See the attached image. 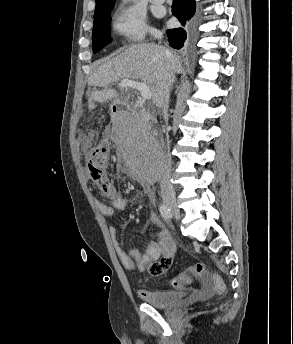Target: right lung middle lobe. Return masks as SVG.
Here are the masks:
<instances>
[{"label": "right lung middle lobe", "instance_id": "1", "mask_svg": "<svg viewBox=\"0 0 293 344\" xmlns=\"http://www.w3.org/2000/svg\"><path fill=\"white\" fill-rule=\"evenodd\" d=\"M114 4L96 9L94 13V26L92 32L93 52L96 53L104 48L110 41L111 10Z\"/></svg>", "mask_w": 293, "mask_h": 344}]
</instances>
